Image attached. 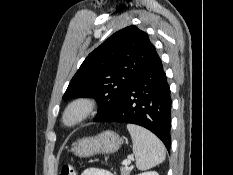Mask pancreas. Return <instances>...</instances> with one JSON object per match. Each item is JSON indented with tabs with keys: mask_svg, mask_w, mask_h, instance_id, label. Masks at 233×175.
<instances>
[{
	"mask_svg": "<svg viewBox=\"0 0 233 175\" xmlns=\"http://www.w3.org/2000/svg\"><path fill=\"white\" fill-rule=\"evenodd\" d=\"M131 169L128 167H121V175H129Z\"/></svg>",
	"mask_w": 233,
	"mask_h": 175,
	"instance_id": "pancreas-1",
	"label": "pancreas"
}]
</instances>
